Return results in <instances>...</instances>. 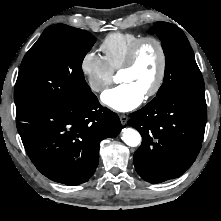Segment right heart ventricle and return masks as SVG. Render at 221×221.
<instances>
[{
    "label": "right heart ventricle",
    "instance_id": "right-heart-ventricle-1",
    "mask_svg": "<svg viewBox=\"0 0 221 221\" xmlns=\"http://www.w3.org/2000/svg\"><path fill=\"white\" fill-rule=\"evenodd\" d=\"M141 37L132 32H113L103 39L100 50L113 72L120 70L130 48Z\"/></svg>",
    "mask_w": 221,
    "mask_h": 221
}]
</instances>
